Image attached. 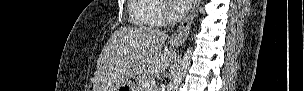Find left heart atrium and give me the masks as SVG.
Segmentation results:
<instances>
[{
  "label": "left heart atrium",
  "mask_w": 304,
  "mask_h": 91,
  "mask_svg": "<svg viewBox=\"0 0 304 91\" xmlns=\"http://www.w3.org/2000/svg\"><path fill=\"white\" fill-rule=\"evenodd\" d=\"M172 10L176 13H184L190 8V0H170L169 1Z\"/></svg>",
  "instance_id": "1"
}]
</instances>
